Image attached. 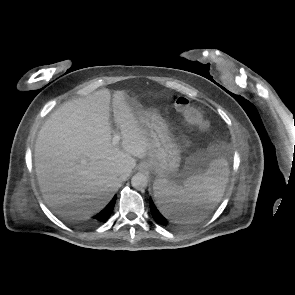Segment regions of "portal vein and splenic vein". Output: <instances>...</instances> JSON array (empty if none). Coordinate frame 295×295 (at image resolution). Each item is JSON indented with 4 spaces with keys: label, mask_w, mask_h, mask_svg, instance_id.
Returning <instances> with one entry per match:
<instances>
[{
    "label": "portal vein and splenic vein",
    "mask_w": 295,
    "mask_h": 295,
    "mask_svg": "<svg viewBox=\"0 0 295 295\" xmlns=\"http://www.w3.org/2000/svg\"><path fill=\"white\" fill-rule=\"evenodd\" d=\"M121 140V135L118 132H115L113 135L112 143L113 145H118Z\"/></svg>",
    "instance_id": "1"
}]
</instances>
